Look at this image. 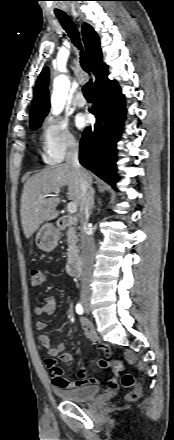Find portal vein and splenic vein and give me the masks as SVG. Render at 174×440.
I'll use <instances>...</instances> for the list:
<instances>
[{
	"mask_svg": "<svg viewBox=\"0 0 174 440\" xmlns=\"http://www.w3.org/2000/svg\"><path fill=\"white\" fill-rule=\"evenodd\" d=\"M59 193H60V190H59V189H57V190L54 191V195H58ZM45 197H46V196L41 195V196H40V199H44ZM67 210H68V212H69L70 214H74V213H76V212H77V205H76V203H74V202H69L68 205H67Z\"/></svg>",
	"mask_w": 174,
	"mask_h": 440,
	"instance_id": "obj_1",
	"label": "portal vein and splenic vein"
}]
</instances>
